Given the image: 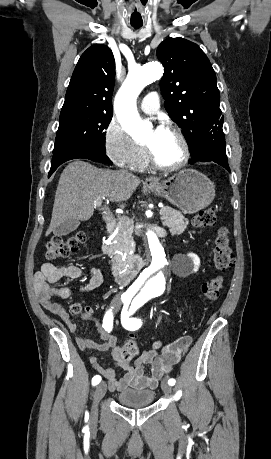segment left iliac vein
<instances>
[{"mask_svg":"<svg viewBox=\"0 0 271 459\" xmlns=\"http://www.w3.org/2000/svg\"><path fill=\"white\" fill-rule=\"evenodd\" d=\"M161 388H162L163 392H165V393H170L171 392V387H170L169 384H167L166 378H163V380L161 382Z\"/></svg>","mask_w":271,"mask_h":459,"instance_id":"left-iliac-vein-1","label":"left iliac vein"}]
</instances>
